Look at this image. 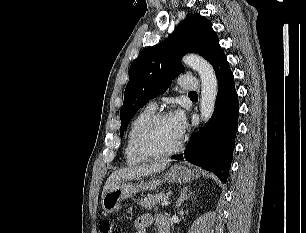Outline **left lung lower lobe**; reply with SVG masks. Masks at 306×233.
Returning <instances> with one entry per match:
<instances>
[{"label":"left lung lower lobe","mask_w":306,"mask_h":233,"mask_svg":"<svg viewBox=\"0 0 306 233\" xmlns=\"http://www.w3.org/2000/svg\"><path fill=\"white\" fill-rule=\"evenodd\" d=\"M218 78V95L213 116L190 140L184 155L173 159L189 162L214 172L227 182L238 127V99L234 77L225 54L213 64Z\"/></svg>","instance_id":"1"}]
</instances>
